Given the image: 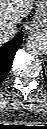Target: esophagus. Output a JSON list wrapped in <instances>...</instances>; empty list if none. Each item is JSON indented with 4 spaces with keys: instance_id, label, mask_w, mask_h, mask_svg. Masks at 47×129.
Here are the masks:
<instances>
[{
    "instance_id": "34e87169",
    "label": "esophagus",
    "mask_w": 47,
    "mask_h": 129,
    "mask_svg": "<svg viewBox=\"0 0 47 129\" xmlns=\"http://www.w3.org/2000/svg\"><path fill=\"white\" fill-rule=\"evenodd\" d=\"M38 28V25L36 22H31L28 25H26L25 27V31L28 34H32L33 32H35V30Z\"/></svg>"
}]
</instances>
